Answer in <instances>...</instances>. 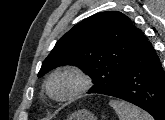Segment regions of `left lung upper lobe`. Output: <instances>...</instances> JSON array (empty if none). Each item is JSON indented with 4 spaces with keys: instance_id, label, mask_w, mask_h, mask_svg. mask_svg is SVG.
<instances>
[{
    "instance_id": "5c2ea615",
    "label": "left lung upper lobe",
    "mask_w": 165,
    "mask_h": 120,
    "mask_svg": "<svg viewBox=\"0 0 165 120\" xmlns=\"http://www.w3.org/2000/svg\"><path fill=\"white\" fill-rule=\"evenodd\" d=\"M143 36L121 12L97 13L57 41L38 77L58 66L74 65L92 78L89 93L107 95L120 85L127 60Z\"/></svg>"
}]
</instances>
